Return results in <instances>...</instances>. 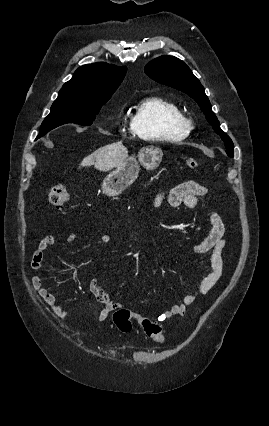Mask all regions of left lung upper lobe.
Masks as SVG:
<instances>
[{"label": "left lung upper lobe", "mask_w": 269, "mask_h": 426, "mask_svg": "<svg viewBox=\"0 0 269 426\" xmlns=\"http://www.w3.org/2000/svg\"><path fill=\"white\" fill-rule=\"evenodd\" d=\"M153 80L180 90L192 97L200 106L207 121L213 126L225 143L228 156H234V145L230 137L221 130L220 123L211 109V104L200 81L189 67L173 56L158 57L149 62L144 69Z\"/></svg>", "instance_id": "1"}]
</instances>
